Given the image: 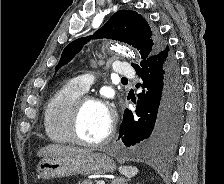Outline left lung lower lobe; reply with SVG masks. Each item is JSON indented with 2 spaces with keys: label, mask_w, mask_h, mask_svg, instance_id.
Returning a JSON list of instances; mask_svg holds the SVG:
<instances>
[{
  "label": "left lung lower lobe",
  "mask_w": 224,
  "mask_h": 184,
  "mask_svg": "<svg viewBox=\"0 0 224 184\" xmlns=\"http://www.w3.org/2000/svg\"><path fill=\"white\" fill-rule=\"evenodd\" d=\"M136 113L126 109L120 129L127 147H142L154 154L171 151L181 132L183 86L174 53L165 47L150 57L142 69Z\"/></svg>",
  "instance_id": "left-lung-lower-lobe-1"
}]
</instances>
